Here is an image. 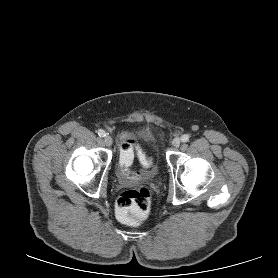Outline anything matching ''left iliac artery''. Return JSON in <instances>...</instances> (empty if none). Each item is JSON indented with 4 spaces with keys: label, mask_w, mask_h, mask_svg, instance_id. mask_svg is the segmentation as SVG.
Returning <instances> with one entry per match:
<instances>
[{
    "label": "left iliac artery",
    "mask_w": 278,
    "mask_h": 278,
    "mask_svg": "<svg viewBox=\"0 0 278 278\" xmlns=\"http://www.w3.org/2000/svg\"><path fill=\"white\" fill-rule=\"evenodd\" d=\"M181 141L182 142H188L189 141V135H187V134L182 135Z\"/></svg>",
    "instance_id": "obj_1"
}]
</instances>
